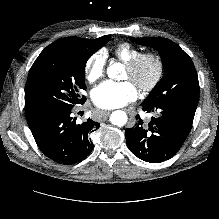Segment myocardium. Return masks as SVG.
I'll return each instance as SVG.
<instances>
[{
  "instance_id": "f54148a6",
  "label": "myocardium",
  "mask_w": 219,
  "mask_h": 219,
  "mask_svg": "<svg viewBox=\"0 0 219 219\" xmlns=\"http://www.w3.org/2000/svg\"><path fill=\"white\" fill-rule=\"evenodd\" d=\"M151 61L154 64V74L151 80L145 84H137L136 86L142 92L153 91L161 82L164 72L165 63L163 58L156 52H142L134 59L125 64V68L131 73L135 74L139 68L146 62Z\"/></svg>"
}]
</instances>
